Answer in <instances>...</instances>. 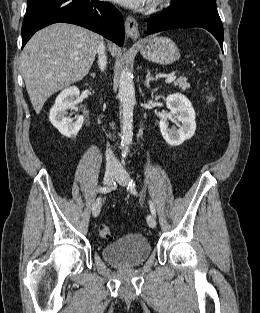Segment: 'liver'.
I'll return each mask as SVG.
<instances>
[{
	"instance_id": "6515ba94",
	"label": "liver",
	"mask_w": 260,
	"mask_h": 313,
	"mask_svg": "<svg viewBox=\"0 0 260 313\" xmlns=\"http://www.w3.org/2000/svg\"><path fill=\"white\" fill-rule=\"evenodd\" d=\"M101 43L99 34L67 23L50 25L33 35L23 49L21 63L37 114L52 94L88 74Z\"/></svg>"
}]
</instances>
